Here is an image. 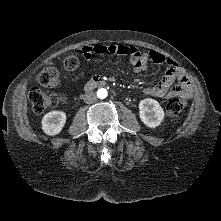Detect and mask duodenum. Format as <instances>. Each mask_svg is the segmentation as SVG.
<instances>
[{"label": "duodenum", "mask_w": 221, "mask_h": 221, "mask_svg": "<svg viewBox=\"0 0 221 221\" xmlns=\"http://www.w3.org/2000/svg\"><path fill=\"white\" fill-rule=\"evenodd\" d=\"M106 85H108V82L104 78L101 76H94L85 84V90L89 91L93 88L104 87Z\"/></svg>", "instance_id": "410a0bca"}]
</instances>
